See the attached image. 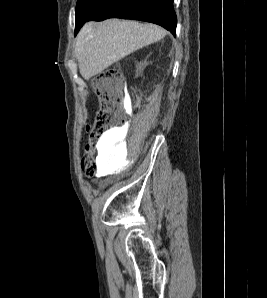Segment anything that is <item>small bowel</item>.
<instances>
[{
    "label": "small bowel",
    "instance_id": "1",
    "mask_svg": "<svg viewBox=\"0 0 267 298\" xmlns=\"http://www.w3.org/2000/svg\"><path fill=\"white\" fill-rule=\"evenodd\" d=\"M118 131L117 130H111L106 134V140L110 143H112L116 138L118 137Z\"/></svg>",
    "mask_w": 267,
    "mask_h": 298
}]
</instances>
